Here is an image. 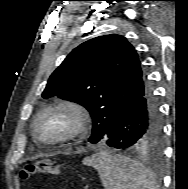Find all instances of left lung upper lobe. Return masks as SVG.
<instances>
[{
    "instance_id": "obj_1",
    "label": "left lung upper lobe",
    "mask_w": 188,
    "mask_h": 189,
    "mask_svg": "<svg viewBox=\"0 0 188 189\" xmlns=\"http://www.w3.org/2000/svg\"><path fill=\"white\" fill-rule=\"evenodd\" d=\"M148 85L134 47L120 35L90 39L75 49L52 73L42 93L84 106L93 119L89 142L101 141L123 111ZM160 137L141 144L148 149Z\"/></svg>"
}]
</instances>
